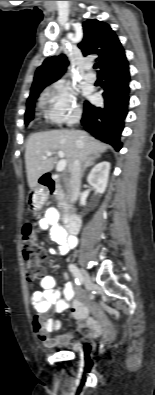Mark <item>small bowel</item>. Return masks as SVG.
I'll use <instances>...</instances> for the list:
<instances>
[{
  "label": "small bowel",
  "instance_id": "small-bowel-1",
  "mask_svg": "<svg viewBox=\"0 0 155 395\" xmlns=\"http://www.w3.org/2000/svg\"><path fill=\"white\" fill-rule=\"evenodd\" d=\"M58 220L59 212L55 208H49L40 220V228L43 230L50 228L51 238L57 244V248L50 249L51 254H65L74 250L78 244L74 235L68 234L58 225ZM40 287L33 288L31 296V305L36 312L32 326L37 338L45 347H62L72 339L71 334L51 335L61 327L58 320L49 317L53 307L57 313H63L71 307V316L77 321V328L89 329L84 335L85 338H92L100 333L101 322L90 316L89 309L81 300L74 299L75 288L71 282H66L62 288H57L54 277L46 275L40 280Z\"/></svg>",
  "mask_w": 155,
  "mask_h": 395
}]
</instances>
